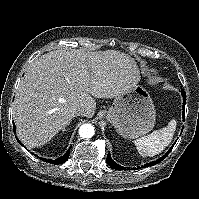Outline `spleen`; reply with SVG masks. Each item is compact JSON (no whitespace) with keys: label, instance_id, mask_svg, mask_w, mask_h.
I'll use <instances>...</instances> for the list:
<instances>
[{"label":"spleen","instance_id":"3e777b00","mask_svg":"<svg viewBox=\"0 0 199 199\" xmlns=\"http://www.w3.org/2000/svg\"><path fill=\"white\" fill-rule=\"evenodd\" d=\"M176 130V120L172 119L166 127L135 140V145L143 157H152L161 153L172 141Z\"/></svg>","mask_w":199,"mask_h":199}]
</instances>
